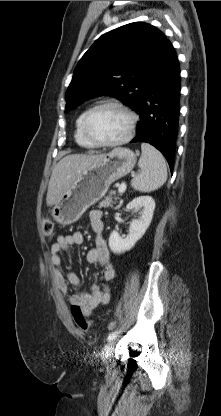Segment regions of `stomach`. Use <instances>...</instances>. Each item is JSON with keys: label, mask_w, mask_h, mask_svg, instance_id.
I'll return each mask as SVG.
<instances>
[{"label": "stomach", "mask_w": 221, "mask_h": 416, "mask_svg": "<svg viewBox=\"0 0 221 416\" xmlns=\"http://www.w3.org/2000/svg\"><path fill=\"white\" fill-rule=\"evenodd\" d=\"M136 163V155L118 147L82 171L51 211L61 225L76 222L82 214L107 193L110 185L128 174Z\"/></svg>", "instance_id": "obj_1"}]
</instances>
